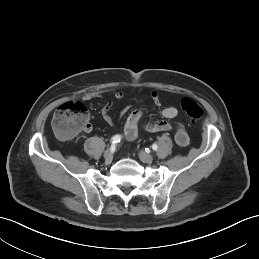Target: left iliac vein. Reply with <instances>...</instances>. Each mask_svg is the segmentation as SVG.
<instances>
[{
	"instance_id": "4c4485c4",
	"label": "left iliac vein",
	"mask_w": 259,
	"mask_h": 259,
	"mask_svg": "<svg viewBox=\"0 0 259 259\" xmlns=\"http://www.w3.org/2000/svg\"><path fill=\"white\" fill-rule=\"evenodd\" d=\"M139 159L143 162V163H151L153 161V156L151 154H148L144 151H140L138 153Z\"/></svg>"
}]
</instances>
